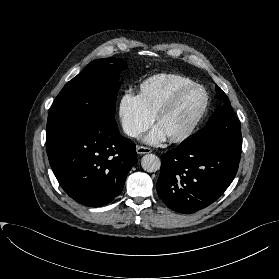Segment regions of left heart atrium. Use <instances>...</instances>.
I'll list each match as a JSON object with an SVG mask.
<instances>
[{"instance_id": "39dd6f15", "label": "left heart atrium", "mask_w": 279, "mask_h": 279, "mask_svg": "<svg viewBox=\"0 0 279 279\" xmlns=\"http://www.w3.org/2000/svg\"><path fill=\"white\" fill-rule=\"evenodd\" d=\"M166 137L164 131L157 125L145 136L144 141L151 145H159L166 140Z\"/></svg>"}]
</instances>
